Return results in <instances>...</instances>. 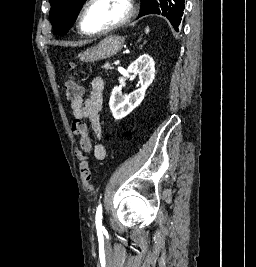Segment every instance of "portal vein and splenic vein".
Here are the masks:
<instances>
[{"mask_svg":"<svg viewBox=\"0 0 256 267\" xmlns=\"http://www.w3.org/2000/svg\"><path fill=\"white\" fill-rule=\"evenodd\" d=\"M115 65H116V66H119V65H120V60H119V59H116V60H115Z\"/></svg>","mask_w":256,"mask_h":267,"instance_id":"18ae733b","label":"portal vein and splenic vein"}]
</instances>
